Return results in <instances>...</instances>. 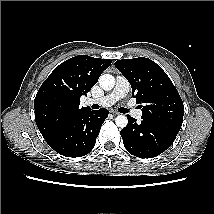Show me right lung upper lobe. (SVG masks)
<instances>
[{
  "label": "right lung upper lobe",
  "instance_id": "right-lung-upper-lobe-1",
  "mask_svg": "<svg viewBox=\"0 0 214 214\" xmlns=\"http://www.w3.org/2000/svg\"><path fill=\"white\" fill-rule=\"evenodd\" d=\"M111 62L79 55L54 69L34 101L35 121L44 138L71 118L90 110L80 106V97L91 90Z\"/></svg>",
  "mask_w": 214,
  "mask_h": 214
}]
</instances>
